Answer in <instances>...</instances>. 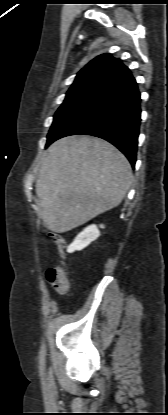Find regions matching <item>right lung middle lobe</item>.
<instances>
[{"instance_id": "obj_1", "label": "right lung middle lobe", "mask_w": 168, "mask_h": 415, "mask_svg": "<svg viewBox=\"0 0 168 415\" xmlns=\"http://www.w3.org/2000/svg\"><path fill=\"white\" fill-rule=\"evenodd\" d=\"M99 94L100 93L98 92L90 91L67 94L64 102L54 115L53 123L47 139L49 140L52 138L74 114H76L81 108L96 98Z\"/></svg>"}]
</instances>
